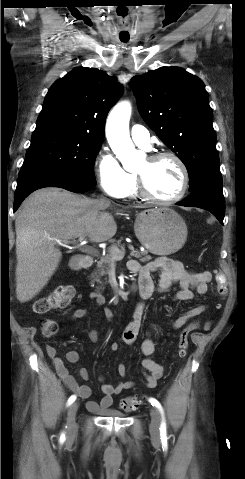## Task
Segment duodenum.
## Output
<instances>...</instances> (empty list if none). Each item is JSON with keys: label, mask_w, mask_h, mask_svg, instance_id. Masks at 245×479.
I'll use <instances>...</instances> for the list:
<instances>
[{"label": "duodenum", "mask_w": 245, "mask_h": 479, "mask_svg": "<svg viewBox=\"0 0 245 479\" xmlns=\"http://www.w3.org/2000/svg\"><path fill=\"white\" fill-rule=\"evenodd\" d=\"M92 263H93L92 258L87 255L77 260L76 266L79 268H89L92 265ZM130 287L132 290L136 289L135 285H131Z\"/></svg>", "instance_id": "410a0bca"}]
</instances>
